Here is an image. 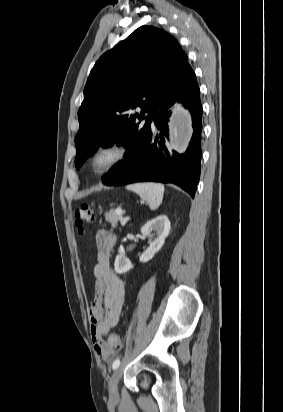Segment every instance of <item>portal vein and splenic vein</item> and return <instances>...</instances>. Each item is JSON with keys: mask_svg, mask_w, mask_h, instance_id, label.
<instances>
[{"mask_svg": "<svg viewBox=\"0 0 283 412\" xmlns=\"http://www.w3.org/2000/svg\"><path fill=\"white\" fill-rule=\"evenodd\" d=\"M115 212H116V214L119 215V216H122V214H123V211H122L121 208H117V209L115 210Z\"/></svg>", "mask_w": 283, "mask_h": 412, "instance_id": "1", "label": "portal vein and splenic vein"}]
</instances>
